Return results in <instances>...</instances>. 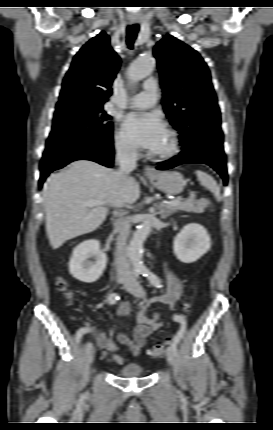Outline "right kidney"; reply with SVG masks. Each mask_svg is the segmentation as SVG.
Listing matches in <instances>:
<instances>
[{
	"label": "right kidney",
	"mask_w": 273,
	"mask_h": 430,
	"mask_svg": "<svg viewBox=\"0 0 273 430\" xmlns=\"http://www.w3.org/2000/svg\"><path fill=\"white\" fill-rule=\"evenodd\" d=\"M95 258V262L88 261ZM107 257L100 249V242L95 239L86 240L77 245L69 261V272L83 283L96 282L106 268Z\"/></svg>",
	"instance_id": "1"
}]
</instances>
